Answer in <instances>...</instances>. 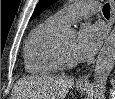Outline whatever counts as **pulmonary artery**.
Instances as JSON below:
<instances>
[{"mask_svg":"<svg viewBox=\"0 0 115 99\" xmlns=\"http://www.w3.org/2000/svg\"><path fill=\"white\" fill-rule=\"evenodd\" d=\"M98 12V4L95 1H76L71 5L55 13L50 19L64 27L81 18Z\"/></svg>","mask_w":115,"mask_h":99,"instance_id":"obj_1","label":"pulmonary artery"}]
</instances>
